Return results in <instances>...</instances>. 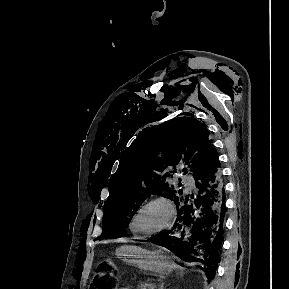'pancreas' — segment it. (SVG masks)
I'll return each instance as SVG.
<instances>
[{"instance_id":"pancreas-1","label":"pancreas","mask_w":289,"mask_h":289,"mask_svg":"<svg viewBox=\"0 0 289 289\" xmlns=\"http://www.w3.org/2000/svg\"><path fill=\"white\" fill-rule=\"evenodd\" d=\"M153 286V284H150L148 281H146L139 286V289H152Z\"/></svg>"}]
</instances>
